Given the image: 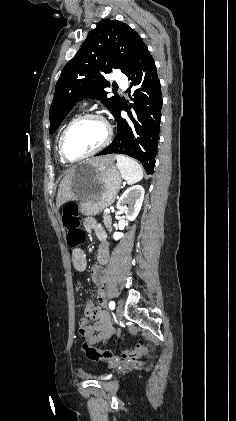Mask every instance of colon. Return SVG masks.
<instances>
[{"mask_svg":"<svg viewBox=\"0 0 236 421\" xmlns=\"http://www.w3.org/2000/svg\"><path fill=\"white\" fill-rule=\"evenodd\" d=\"M61 219L63 226L67 230V243L71 249L74 250L73 256L78 259L79 252L77 250L84 241V232L80 229V221L78 215V206L74 202L66 203L63 206ZM82 350L88 359L92 361L110 360L112 352L93 347L87 343L82 345ZM149 351V346L143 343H138L131 350H124L122 356L126 359H136L146 355Z\"/></svg>","mask_w":236,"mask_h":421,"instance_id":"1","label":"colon"}]
</instances>
